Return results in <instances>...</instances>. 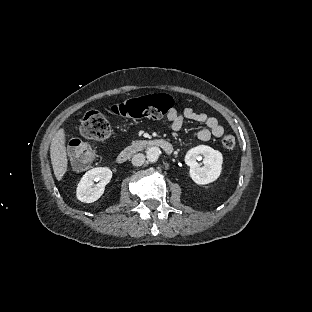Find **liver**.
I'll return each instance as SVG.
<instances>
[{"mask_svg":"<svg viewBox=\"0 0 312 312\" xmlns=\"http://www.w3.org/2000/svg\"><path fill=\"white\" fill-rule=\"evenodd\" d=\"M66 137V128L61 127L56 131L51 140L50 160L57 181L62 180L68 167Z\"/></svg>","mask_w":312,"mask_h":312,"instance_id":"1","label":"liver"}]
</instances>
